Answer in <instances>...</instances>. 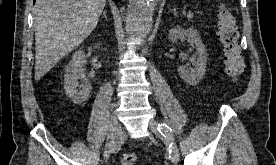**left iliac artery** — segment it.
Returning <instances> with one entry per match:
<instances>
[{"label": "left iliac artery", "instance_id": "obj_1", "mask_svg": "<svg viewBox=\"0 0 276 165\" xmlns=\"http://www.w3.org/2000/svg\"><path fill=\"white\" fill-rule=\"evenodd\" d=\"M158 131L164 136L168 137L172 131L171 129L164 123L158 124Z\"/></svg>", "mask_w": 276, "mask_h": 165}]
</instances>
